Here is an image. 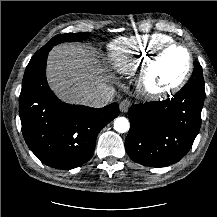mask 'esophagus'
<instances>
[{"mask_svg":"<svg viewBox=\"0 0 217 217\" xmlns=\"http://www.w3.org/2000/svg\"><path fill=\"white\" fill-rule=\"evenodd\" d=\"M131 104H132L131 101H129L127 99L122 100L120 102V111L123 113L127 112L128 109L130 108Z\"/></svg>","mask_w":217,"mask_h":217,"instance_id":"esophagus-1","label":"esophagus"}]
</instances>
